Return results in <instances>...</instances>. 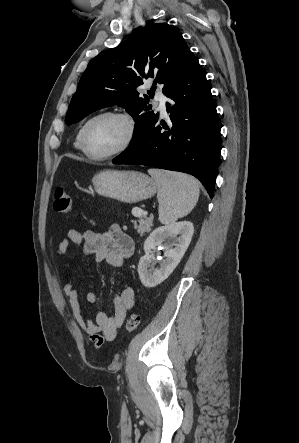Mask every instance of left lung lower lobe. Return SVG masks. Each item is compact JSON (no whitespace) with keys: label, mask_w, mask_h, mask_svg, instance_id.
Instances as JSON below:
<instances>
[{"label":"left lung lower lobe","mask_w":299,"mask_h":443,"mask_svg":"<svg viewBox=\"0 0 299 443\" xmlns=\"http://www.w3.org/2000/svg\"><path fill=\"white\" fill-rule=\"evenodd\" d=\"M166 96L171 99V104H166L169 126L157 118L113 163L191 174L212 198L220 158V126L200 64L194 65Z\"/></svg>","instance_id":"0a47b994"}]
</instances>
